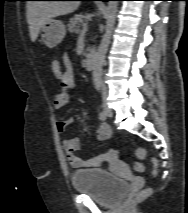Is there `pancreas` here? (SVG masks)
<instances>
[{"instance_id":"1","label":"pancreas","mask_w":188,"mask_h":213,"mask_svg":"<svg viewBox=\"0 0 188 213\" xmlns=\"http://www.w3.org/2000/svg\"><path fill=\"white\" fill-rule=\"evenodd\" d=\"M85 24L84 18L82 15H76L73 18L70 19L67 27L68 30L72 33L79 34L80 33V26Z\"/></svg>"}]
</instances>
